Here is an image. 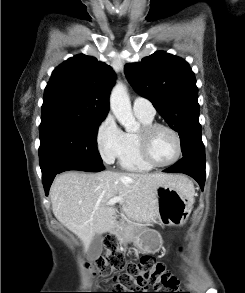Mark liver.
Masks as SVG:
<instances>
[{"mask_svg": "<svg viewBox=\"0 0 245 293\" xmlns=\"http://www.w3.org/2000/svg\"><path fill=\"white\" fill-rule=\"evenodd\" d=\"M163 185L175 186L193 197L189 180L182 175L66 172L57 176L51 186L52 211L61 224L80 238L86 252L95 234L117 227L116 209L107 205L110 199H123L122 211L128 218L155 222L156 190Z\"/></svg>", "mask_w": 245, "mask_h": 293, "instance_id": "6515ba94", "label": "liver"}]
</instances>
